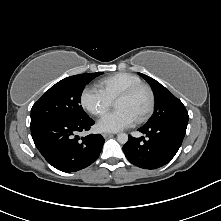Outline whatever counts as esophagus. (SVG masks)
<instances>
[{"mask_svg": "<svg viewBox=\"0 0 221 221\" xmlns=\"http://www.w3.org/2000/svg\"><path fill=\"white\" fill-rule=\"evenodd\" d=\"M102 135H103L104 138H108V137H111L113 135V133L105 132Z\"/></svg>", "mask_w": 221, "mask_h": 221, "instance_id": "esophagus-1", "label": "esophagus"}]
</instances>
